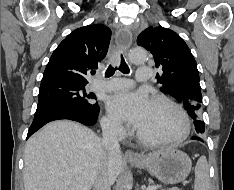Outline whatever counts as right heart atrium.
Returning a JSON list of instances; mask_svg holds the SVG:
<instances>
[{"instance_id": "1", "label": "right heart atrium", "mask_w": 234, "mask_h": 190, "mask_svg": "<svg viewBox=\"0 0 234 190\" xmlns=\"http://www.w3.org/2000/svg\"><path fill=\"white\" fill-rule=\"evenodd\" d=\"M102 126L105 131L110 133L118 135H123L125 133L123 125L119 121L111 117H104L102 120Z\"/></svg>"}]
</instances>
